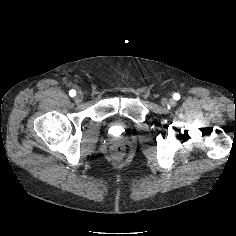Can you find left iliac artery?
Returning a JSON list of instances; mask_svg holds the SVG:
<instances>
[{
    "mask_svg": "<svg viewBox=\"0 0 236 236\" xmlns=\"http://www.w3.org/2000/svg\"><path fill=\"white\" fill-rule=\"evenodd\" d=\"M173 98H174L175 100H179V99H180V95H179L178 93H175V94L173 95Z\"/></svg>",
    "mask_w": 236,
    "mask_h": 236,
    "instance_id": "1",
    "label": "left iliac artery"
}]
</instances>
